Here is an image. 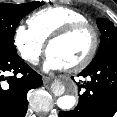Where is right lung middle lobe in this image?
I'll list each match as a JSON object with an SVG mask.
<instances>
[{
  "instance_id": "1",
  "label": "right lung middle lobe",
  "mask_w": 117,
  "mask_h": 117,
  "mask_svg": "<svg viewBox=\"0 0 117 117\" xmlns=\"http://www.w3.org/2000/svg\"><path fill=\"white\" fill-rule=\"evenodd\" d=\"M43 4L40 1L24 4L0 3V54H17L14 45L17 25L22 17Z\"/></svg>"
}]
</instances>
